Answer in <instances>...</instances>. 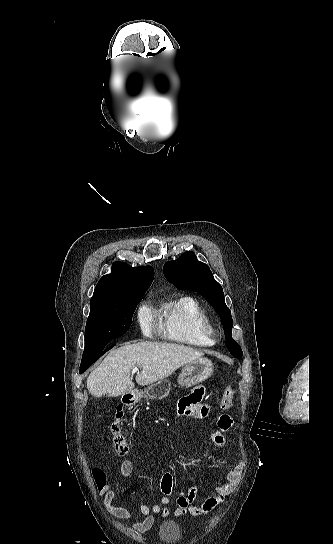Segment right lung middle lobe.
Returning <instances> with one entry per match:
<instances>
[{
	"instance_id": "obj_1",
	"label": "right lung middle lobe",
	"mask_w": 333,
	"mask_h": 544,
	"mask_svg": "<svg viewBox=\"0 0 333 544\" xmlns=\"http://www.w3.org/2000/svg\"><path fill=\"white\" fill-rule=\"evenodd\" d=\"M145 292L91 302L80 368L100 358L112 348H107L110 340L122 336L129 330L133 313Z\"/></svg>"
}]
</instances>
